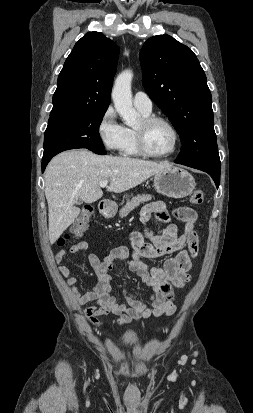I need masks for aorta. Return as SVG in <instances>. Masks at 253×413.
I'll list each match as a JSON object with an SVG mask.
<instances>
[{"label":"aorta","mask_w":253,"mask_h":413,"mask_svg":"<svg viewBox=\"0 0 253 413\" xmlns=\"http://www.w3.org/2000/svg\"><path fill=\"white\" fill-rule=\"evenodd\" d=\"M133 74L130 70L120 73L112 89V100L118 114L128 126L136 124L138 114L132 104V83Z\"/></svg>","instance_id":"aorta-1"}]
</instances>
